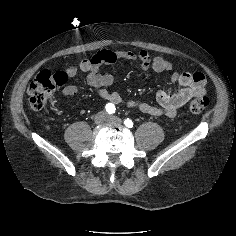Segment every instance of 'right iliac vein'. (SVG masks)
Segmentation results:
<instances>
[{"label": "right iliac vein", "instance_id": "right-iliac-vein-1", "mask_svg": "<svg viewBox=\"0 0 236 236\" xmlns=\"http://www.w3.org/2000/svg\"><path fill=\"white\" fill-rule=\"evenodd\" d=\"M107 116L104 111L97 113L94 117V121L96 124H102L106 120Z\"/></svg>", "mask_w": 236, "mask_h": 236}]
</instances>
